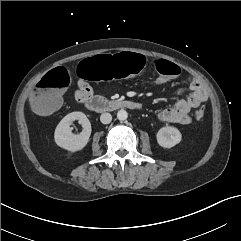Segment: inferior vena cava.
Wrapping results in <instances>:
<instances>
[{
    "mask_svg": "<svg viewBox=\"0 0 241 241\" xmlns=\"http://www.w3.org/2000/svg\"><path fill=\"white\" fill-rule=\"evenodd\" d=\"M100 121L103 124H109L112 121V116L110 113H103L100 116Z\"/></svg>",
    "mask_w": 241,
    "mask_h": 241,
    "instance_id": "obj_1",
    "label": "inferior vena cava"
}]
</instances>
